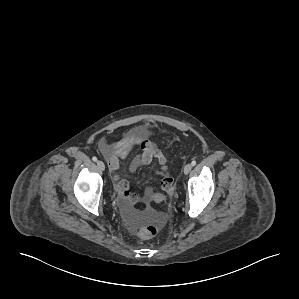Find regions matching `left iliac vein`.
Instances as JSON below:
<instances>
[{"instance_id": "left-iliac-vein-1", "label": "left iliac vein", "mask_w": 299, "mask_h": 299, "mask_svg": "<svg viewBox=\"0 0 299 299\" xmlns=\"http://www.w3.org/2000/svg\"><path fill=\"white\" fill-rule=\"evenodd\" d=\"M191 169H192V164H186L183 170L184 174H188L191 171Z\"/></svg>"}]
</instances>
